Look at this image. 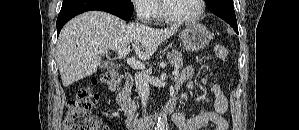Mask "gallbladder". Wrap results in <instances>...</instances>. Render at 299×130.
Returning <instances> with one entry per match:
<instances>
[{
	"label": "gallbladder",
	"instance_id": "bac80fb5",
	"mask_svg": "<svg viewBox=\"0 0 299 130\" xmlns=\"http://www.w3.org/2000/svg\"><path fill=\"white\" fill-rule=\"evenodd\" d=\"M100 67L107 70H113L118 68V66L112 62L104 61L100 64Z\"/></svg>",
	"mask_w": 299,
	"mask_h": 130
}]
</instances>
